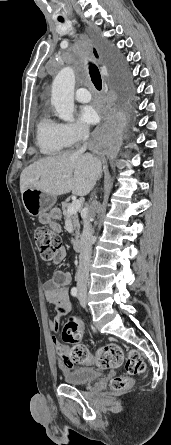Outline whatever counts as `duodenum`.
I'll list each match as a JSON object with an SVG mask.
<instances>
[{
    "label": "duodenum",
    "mask_w": 171,
    "mask_h": 445,
    "mask_svg": "<svg viewBox=\"0 0 171 445\" xmlns=\"http://www.w3.org/2000/svg\"><path fill=\"white\" fill-rule=\"evenodd\" d=\"M73 248L75 251H80L82 249L81 239L76 237L73 239Z\"/></svg>",
    "instance_id": "obj_1"
}]
</instances>
